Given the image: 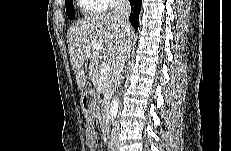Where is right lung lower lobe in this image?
Returning a JSON list of instances; mask_svg holds the SVG:
<instances>
[{
    "mask_svg": "<svg viewBox=\"0 0 231 151\" xmlns=\"http://www.w3.org/2000/svg\"><path fill=\"white\" fill-rule=\"evenodd\" d=\"M129 2L131 4V14L129 20L133 27L137 30L142 0H129Z\"/></svg>",
    "mask_w": 231,
    "mask_h": 151,
    "instance_id": "right-lung-lower-lobe-1",
    "label": "right lung lower lobe"
}]
</instances>
